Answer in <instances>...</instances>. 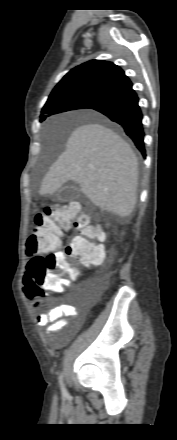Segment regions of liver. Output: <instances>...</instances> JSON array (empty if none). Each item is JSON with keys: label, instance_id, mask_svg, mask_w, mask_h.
<instances>
[{"label": "liver", "instance_id": "liver-1", "mask_svg": "<svg viewBox=\"0 0 177 440\" xmlns=\"http://www.w3.org/2000/svg\"><path fill=\"white\" fill-rule=\"evenodd\" d=\"M72 180L101 210L121 218L137 202L138 160L130 145L113 130L98 124L77 127L65 151L45 175L40 195L54 194Z\"/></svg>", "mask_w": 177, "mask_h": 440}]
</instances>
